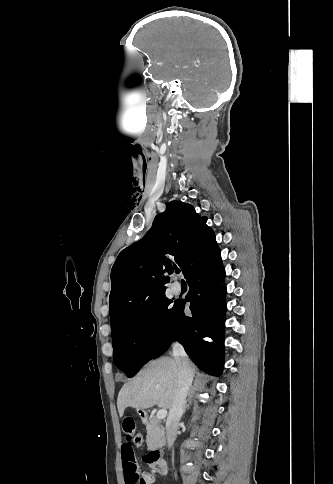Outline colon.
Segmentation results:
<instances>
[{"label":"colon","instance_id":"obj_1","mask_svg":"<svg viewBox=\"0 0 333 484\" xmlns=\"http://www.w3.org/2000/svg\"><path fill=\"white\" fill-rule=\"evenodd\" d=\"M133 442L136 446H141L144 442L143 435L141 433H136L133 437Z\"/></svg>","mask_w":333,"mask_h":484}]
</instances>
